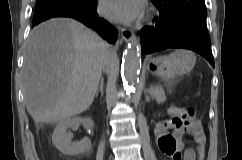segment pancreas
<instances>
[{"label": "pancreas", "instance_id": "pancreas-1", "mask_svg": "<svg viewBox=\"0 0 242 160\" xmlns=\"http://www.w3.org/2000/svg\"><path fill=\"white\" fill-rule=\"evenodd\" d=\"M150 94H151L152 98H154L156 100H162L164 98V93H163L162 87L159 85L151 86Z\"/></svg>", "mask_w": 242, "mask_h": 160}]
</instances>
